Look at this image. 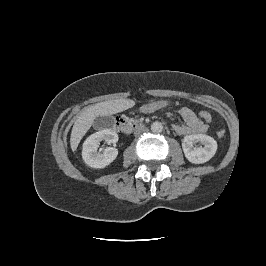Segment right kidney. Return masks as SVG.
<instances>
[{"label":"right kidney","instance_id":"right-kidney-1","mask_svg":"<svg viewBox=\"0 0 266 266\" xmlns=\"http://www.w3.org/2000/svg\"><path fill=\"white\" fill-rule=\"evenodd\" d=\"M118 134L110 129H103L90 135L83 144L82 158L84 162L96 169L105 168L113 162L118 150L113 147H107L102 152H98V147L101 141H106L108 144L118 141Z\"/></svg>","mask_w":266,"mask_h":266}]
</instances>
